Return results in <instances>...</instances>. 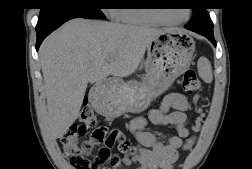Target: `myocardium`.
<instances>
[{"mask_svg":"<svg viewBox=\"0 0 252 169\" xmlns=\"http://www.w3.org/2000/svg\"><path fill=\"white\" fill-rule=\"evenodd\" d=\"M146 15L150 19H152V20H154L156 22H159V23L177 25V24L184 23V22H186L189 19V17H190V11L187 10L186 17L183 20H180V21H169V20H166V19H164V18H162V17H160V16H158L156 14H153V13H146Z\"/></svg>","mask_w":252,"mask_h":169,"instance_id":"myocardium-1","label":"myocardium"}]
</instances>
